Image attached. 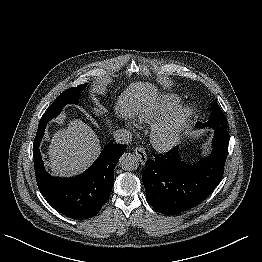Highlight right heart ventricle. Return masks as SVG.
<instances>
[{
  "label": "right heart ventricle",
  "instance_id": "e07e8e85",
  "mask_svg": "<svg viewBox=\"0 0 262 262\" xmlns=\"http://www.w3.org/2000/svg\"><path fill=\"white\" fill-rule=\"evenodd\" d=\"M181 102L182 98L179 95L166 94L152 105L140 110L137 114V119L142 124H154L177 108Z\"/></svg>",
  "mask_w": 262,
  "mask_h": 262
}]
</instances>
